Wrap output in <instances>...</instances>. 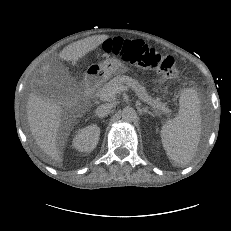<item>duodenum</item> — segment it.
Here are the masks:
<instances>
[{
    "instance_id": "1",
    "label": "duodenum",
    "mask_w": 231,
    "mask_h": 231,
    "mask_svg": "<svg viewBox=\"0 0 231 231\" xmlns=\"http://www.w3.org/2000/svg\"><path fill=\"white\" fill-rule=\"evenodd\" d=\"M98 82H99V77L96 76V75H89L86 78V80H85V90H84L85 99H89L92 96Z\"/></svg>"
}]
</instances>
